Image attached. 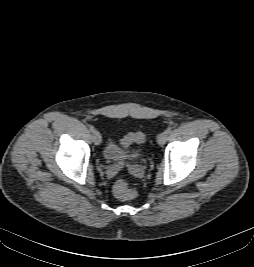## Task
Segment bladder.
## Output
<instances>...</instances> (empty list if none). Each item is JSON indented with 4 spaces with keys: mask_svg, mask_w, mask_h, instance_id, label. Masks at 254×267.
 <instances>
[{
    "mask_svg": "<svg viewBox=\"0 0 254 267\" xmlns=\"http://www.w3.org/2000/svg\"><path fill=\"white\" fill-rule=\"evenodd\" d=\"M103 155L109 160H122L128 157H137V154H127L125 153L116 142L110 140L103 151Z\"/></svg>",
    "mask_w": 254,
    "mask_h": 267,
    "instance_id": "bladder-1",
    "label": "bladder"
}]
</instances>
